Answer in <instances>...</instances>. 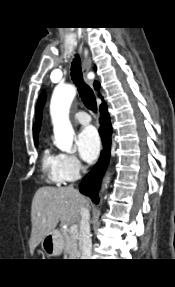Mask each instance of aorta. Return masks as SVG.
<instances>
[{"label": "aorta", "mask_w": 175, "mask_h": 287, "mask_svg": "<svg viewBox=\"0 0 175 287\" xmlns=\"http://www.w3.org/2000/svg\"><path fill=\"white\" fill-rule=\"evenodd\" d=\"M75 95L74 86H58L53 92L50 103L54 143L57 148L65 152H72L74 130L69 120V110Z\"/></svg>", "instance_id": "762f6f07"}]
</instances>
